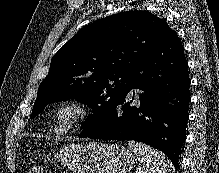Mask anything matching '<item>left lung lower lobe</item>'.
I'll list each match as a JSON object with an SVG mask.
<instances>
[{"mask_svg":"<svg viewBox=\"0 0 219 173\" xmlns=\"http://www.w3.org/2000/svg\"><path fill=\"white\" fill-rule=\"evenodd\" d=\"M189 87L183 45L172 31L133 69L131 89L141 90L139 104H131L129 91L102 127L79 137L144 142L164 152L177 167L186 139Z\"/></svg>","mask_w":219,"mask_h":173,"instance_id":"0a47b994","label":"left lung lower lobe"}]
</instances>
